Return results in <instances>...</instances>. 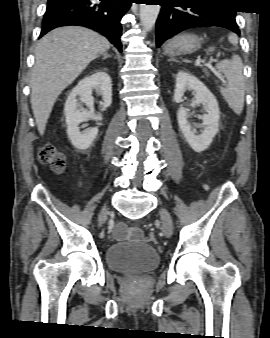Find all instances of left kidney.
<instances>
[{
	"label": "left kidney",
	"instance_id": "left-kidney-1",
	"mask_svg": "<svg viewBox=\"0 0 270 338\" xmlns=\"http://www.w3.org/2000/svg\"><path fill=\"white\" fill-rule=\"evenodd\" d=\"M186 90L194 92V103L202 104L207 112L201 117L204 130L198 135L193 132V128L187 120L189 116L188 110L180 107L177 113L178 125L186 141L195 152L200 153L210 146L218 132L220 111L215 96L197 77L186 71H179L176 75L174 91V101L176 103L183 101L182 97Z\"/></svg>",
	"mask_w": 270,
	"mask_h": 338
}]
</instances>
